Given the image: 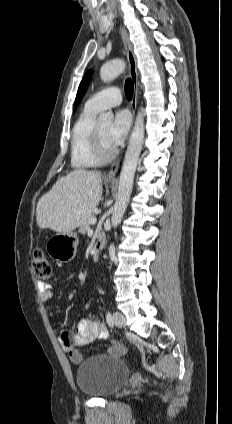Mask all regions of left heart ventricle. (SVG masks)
Listing matches in <instances>:
<instances>
[{"mask_svg":"<svg viewBox=\"0 0 232 424\" xmlns=\"http://www.w3.org/2000/svg\"><path fill=\"white\" fill-rule=\"evenodd\" d=\"M99 130H100V134H101V138H102V143L104 146V149L109 152L112 149H114L111 144L109 143L108 140V133H109V129H110V123H103V124H99L98 125Z\"/></svg>","mask_w":232,"mask_h":424,"instance_id":"b2bd125f","label":"left heart ventricle"}]
</instances>
